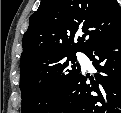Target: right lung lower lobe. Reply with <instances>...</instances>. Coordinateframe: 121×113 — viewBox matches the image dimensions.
<instances>
[{
	"mask_svg": "<svg viewBox=\"0 0 121 113\" xmlns=\"http://www.w3.org/2000/svg\"><path fill=\"white\" fill-rule=\"evenodd\" d=\"M86 55L97 69L95 80L90 78L88 84V74H76L50 113H121V33L95 45Z\"/></svg>",
	"mask_w": 121,
	"mask_h": 113,
	"instance_id": "right-lung-lower-lobe-1",
	"label": "right lung lower lobe"
}]
</instances>
